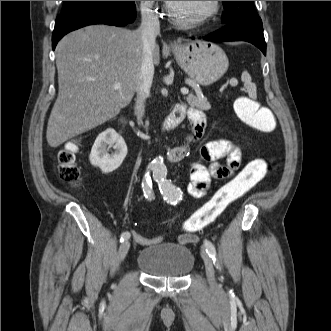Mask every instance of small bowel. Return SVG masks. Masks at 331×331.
I'll return each instance as SVG.
<instances>
[{
	"instance_id": "c3829d8e",
	"label": "small bowel",
	"mask_w": 331,
	"mask_h": 331,
	"mask_svg": "<svg viewBox=\"0 0 331 331\" xmlns=\"http://www.w3.org/2000/svg\"><path fill=\"white\" fill-rule=\"evenodd\" d=\"M186 114L191 123V132L186 142L172 148L168 152V160L177 163L185 159L189 146L199 141L205 132L206 116L198 108L187 109L184 105H178ZM225 159L224 164L219 160ZM242 163L241 148L233 142L225 139L214 140L205 143L199 152V161L193 163L190 168V183L188 193L196 198L204 196L212 179H230L239 171ZM133 239L139 244H151L162 240V236L156 238H144L133 233Z\"/></svg>"
}]
</instances>
